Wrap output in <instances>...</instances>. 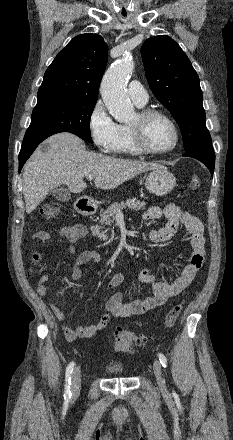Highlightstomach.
Returning <instances> with one entry per match:
<instances>
[{"label": "stomach", "instance_id": "obj_1", "mask_svg": "<svg viewBox=\"0 0 233 440\" xmlns=\"http://www.w3.org/2000/svg\"><path fill=\"white\" fill-rule=\"evenodd\" d=\"M176 185V179L165 167L153 169L146 177V189L156 195L165 196Z\"/></svg>", "mask_w": 233, "mask_h": 440}]
</instances>
